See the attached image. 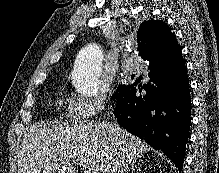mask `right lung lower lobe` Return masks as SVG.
<instances>
[{
  "label": "right lung lower lobe",
  "mask_w": 219,
  "mask_h": 173,
  "mask_svg": "<svg viewBox=\"0 0 219 173\" xmlns=\"http://www.w3.org/2000/svg\"><path fill=\"white\" fill-rule=\"evenodd\" d=\"M152 56L149 82L140 76L114 99L118 124L161 150L183 168L191 122L189 79L183 58L169 63Z\"/></svg>",
  "instance_id": "1"
}]
</instances>
